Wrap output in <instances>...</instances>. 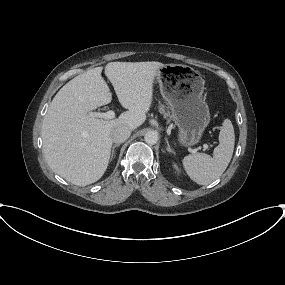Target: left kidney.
<instances>
[{"instance_id": "1", "label": "left kidney", "mask_w": 285, "mask_h": 285, "mask_svg": "<svg viewBox=\"0 0 285 285\" xmlns=\"http://www.w3.org/2000/svg\"><path fill=\"white\" fill-rule=\"evenodd\" d=\"M173 166H174V168H175L177 171H179V168H178V166H177L176 164H174Z\"/></svg>"}]
</instances>
